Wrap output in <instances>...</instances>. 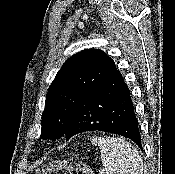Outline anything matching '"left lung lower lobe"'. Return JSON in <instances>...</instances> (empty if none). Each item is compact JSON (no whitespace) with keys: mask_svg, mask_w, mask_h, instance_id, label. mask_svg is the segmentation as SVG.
I'll return each mask as SVG.
<instances>
[{"mask_svg":"<svg viewBox=\"0 0 175 174\" xmlns=\"http://www.w3.org/2000/svg\"><path fill=\"white\" fill-rule=\"evenodd\" d=\"M96 130L127 137L142 149L130 90L117 69L82 97L64 135L68 140Z\"/></svg>","mask_w":175,"mask_h":174,"instance_id":"0a47b994","label":"left lung lower lobe"}]
</instances>
